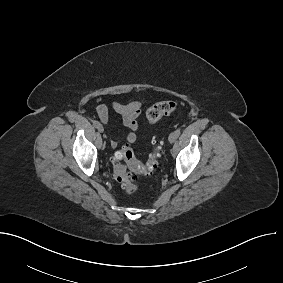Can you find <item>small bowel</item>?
<instances>
[{
  "label": "small bowel",
  "mask_w": 283,
  "mask_h": 283,
  "mask_svg": "<svg viewBox=\"0 0 283 283\" xmlns=\"http://www.w3.org/2000/svg\"><path fill=\"white\" fill-rule=\"evenodd\" d=\"M111 108L115 113L121 116L123 124L131 131L126 135L125 140L128 143H134L137 139L136 132L139 129V123L137 119L142 112V103L140 101L121 103L119 101L114 100L111 102ZM96 112L99 119L103 123L107 124L109 122L110 111L106 105H98L96 108ZM118 144L119 141L116 139H113L111 141V145L114 148L117 147Z\"/></svg>",
  "instance_id": "c3829d8e"
}]
</instances>
